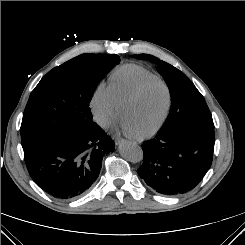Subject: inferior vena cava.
<instances>
[{
  "label": "inferior vena cava",
  "instance_id": "602c4592",
  "mask_svg": "<svg viewBox=\"0 0 245 245\" xmlns=\"http://www.w3.org/2000/svg\"><path fill=\"white\" fill-rule=\"evenodd\" d=\"M99 123H100L101 125H105V124H106V120L100 119V120H99Z\"/></svg>",
  "mask_w": 245,
  "mask_h": 245
}]
</instances>
